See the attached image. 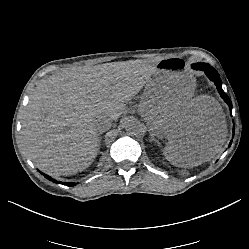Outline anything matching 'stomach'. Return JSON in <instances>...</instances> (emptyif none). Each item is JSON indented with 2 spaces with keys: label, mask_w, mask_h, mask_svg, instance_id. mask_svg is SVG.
<instances>
[{
  "label": "stomach",
  "mask_w": 249,
  "mask_h": 249,
  "mask_svg": "<svg viewBox=\"0 0 249 249\" xmlns=\"http://www.w3.org/2000/svg\"><path fill=\"white\" fill-rule=\"evenodd\" d=\"M176 57L160 60L146 84L142 112L150 128L158 135L173 134L182 124L183 113L194 95L196 79L185 71Z\"/></svg>",
  "instance_id": "0dacf381"
}]
</instances>
